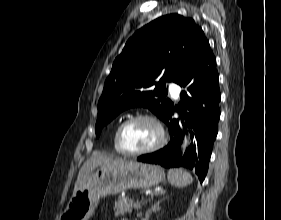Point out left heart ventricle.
<instances>
[{
    "label": "left heart ventricle",
    "instance_id": "left-heart-ventricle-1",
    "mask_svg": "<svg viewBox=\"0 0 281 220\" xmlns=\"http://www.w3.org/2000/svg\"><path fill=\"white\" fill-rule=\"evenodd\" d=\"M159 140L157 126L148 120H138L129 124L123 131L122 142L131 151L151 147Z\"/></svg>",
    "mask_w": 281,
    "mask_h": 220
}]
</instances>
